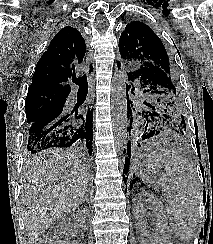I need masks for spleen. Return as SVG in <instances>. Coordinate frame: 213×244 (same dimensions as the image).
<instances>
[{
  "label": "spleen",
  "mask_w": 213,
  "mask_h": 244,
  "mask_svg": "<svg viewBox=\"0 0 213 244\" xmlns=\"http://www.w3.org/2000/svg\"><path fill=\"white\" fill-rule=\"evenodd\" d=\"M147 162L162 179L172 231L182 241L190 242L195 235L201 198L195 173L180 155L168 150L151 153Z\"/></svg>",
  "instance_id": "1"
}]
</instances>
